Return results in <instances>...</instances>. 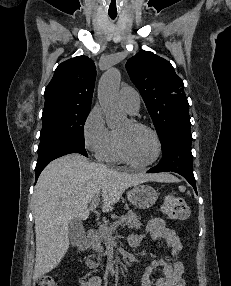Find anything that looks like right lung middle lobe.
I'll use <instances>...</instances> for the list:
<instances>
[{
  "label": "right lung middle lobe",
  "mask_w": 231,
  "mask_h": 286,
  "mask_svg": "<svg viewBox=\"0 0 231 286\" xmlns=\"http://www.w3.org/2000/svg\"><path fill=\"white\" fill-rule=\"evenodd\" d=\"M90 107L74 105H51L44 107L42 130L38 151L62 141L84 142V124Z\"/></svg>",
  "instance_id": "1"
}]
</instances>
